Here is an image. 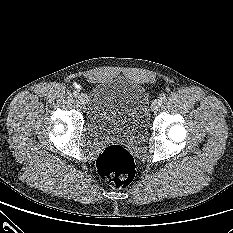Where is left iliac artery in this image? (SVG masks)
Returning a JSON list of instances; mask_svg holds the SVG:
<instances>
[{"label":"left iliac artery","instance_id":"left-iliac-artery-1","mask_svg":"<svg viewBox=\"0 0 233 233\" xmlns=\"http://www.w3.org/2000/svg\"><path fill=\"white\" fill-rule=\"evenodd\" d=\"M161 102H165L167 100V97L165 94L160 95Z\"/></svg>","mask_w":233,"mask_h":233}]
</instances>
